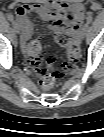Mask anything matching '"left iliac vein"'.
<instances>
[{
	"instance_id": "obj_1",
	"label": "left iliac vein",
	"mask_w": 104,
	"mask_h": 137,
	"mask_svg": "<svg viewBox=\"0 0 104 137\" xmlns=\"http://www.w3.org/2000/svg\"><path fill=\"white\" fill-rule=\"evenodd\" d=\"M87 32V25H84L79 33V39L82 40Z\"/></svg>"
}]
</instances>
